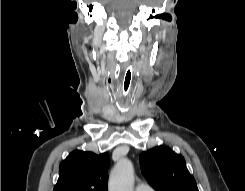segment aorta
I'll list each match as a JSON object with an SVG mask.
<instances>
[{"instance_id":"762f6f07","label":"aorta","mask_w":245,"mask_h":191,"mask_svg":"<svg viewBox=\"0 0 245 191\" xmlns=\"http://www.w3.org/2000/svg\"><path fill=\"white\" fill-rule=\"evenodd\" d=\"M134 168L127 158H121L111 172L109 191H133Z\"/></svg>"}]
</instances>
